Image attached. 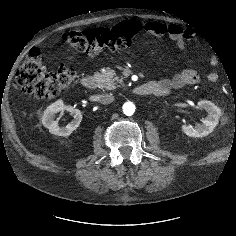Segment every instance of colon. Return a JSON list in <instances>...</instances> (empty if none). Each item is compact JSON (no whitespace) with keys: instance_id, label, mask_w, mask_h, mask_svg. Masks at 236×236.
<instances>
[{"instance_id":"obj_1","label":"colon","mask_w":236,"mask_h":236,"mask_svg":"<svg viewBox=\"0 0 236 236\" xmlns=\"http://www.w3.org/2000/svg\"><path fill=\"white\" fill-rule=\"evenodd\" d=\"M140 27L139 22L127 20L112 27L66 32L61 39L75 50L95 55L128 47ZM16 79L26 93L51 99L66 90L77 79V74L71 68L48 71L40 51L32 49L18 69Z\"/></svg>"}]
</instances>
